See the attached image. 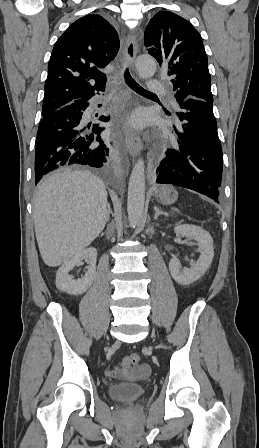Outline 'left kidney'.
<instances>
[{
  "label": "left kidney",
  "instance_id": "left-kidney-1",
  "mask_svg": "<svg viewBox=\"0 0 259 448\" xmlns=\"http://www.w3.org/2000/svg\"><path fill=\"white\" fill-rule=\"evenodd\" d=\"M174 232L175 234H181L182 238L198 242V250L201 256H199L192 268H182L177 256H172V260L169 262V272L173 280L177 284H181V286H189V284H193L207 272L214 258L213 240L209 232H205L199 226L182 224V226H176Z\"/></svg>",
  "mask_w": 259,
  "mask_h": 448
}]
</instances>
